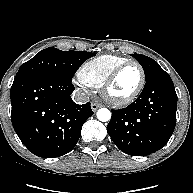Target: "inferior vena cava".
<instances>
[{
	"label": "inferior vena cava",
	"instance_id": "602c4592",
	"mask_svg": "<svg viewBox=\"0 0 193 193\" xmlns=\"http://www.w3.org/2000/svg\"><path fill=\"white\" fill-rule=\"evenodd\" d=\"M72 99L74 102H76L78 104H84V103H87L89 101V95L87 92H85L81 89H77L73 92Z\"/></svg>",
	"mask_w": 193,
	"mask_h": 193
}]
</instances>
